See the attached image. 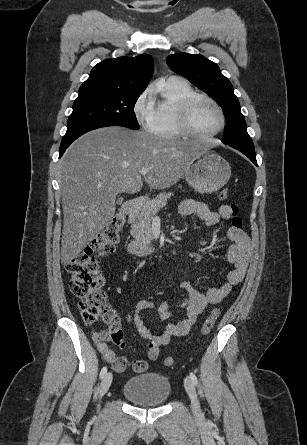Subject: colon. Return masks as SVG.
Wrapping results in <instances>:
<instances>
[{
    "label": "colon",
    "instance_id": "obj_1",
    "mask_svg": "<svg viewBox=\"0 0 307 445\" xmlns=\"http://www.w3.org/2000/svg\"><path fill=\"white\" fill-rule=\"evenodd\" d=\"M227 188L220 190L218 198H228ZM232 211V227L241 228L242 219L238 216V207L230 205ZM125 216L116 214L107 226L98 234L92 244L81 254L71 259L66 269L70 274V291L80 299L79 309L85 323L91 324L100 319L110 325L108 340L116 345L123 344V332L120 318L108 303L107 296L102 290L104 276L100 269V258L112 253L119 241V236L125 225ZM219 309L214 308L201 327V334L208 335L213 329L219 316ZM174 359L168 356L164 359L165 366H171Z\"/></svg>",
    "mask_w": 307,
    "mask_h": 445
}]
</instances>
